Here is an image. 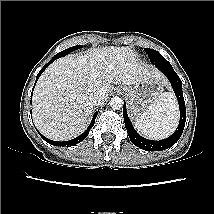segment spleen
I'll use <instances>...</instances> for the list:
<instances>
[{
	"instance_id": "spleen-1",
	"label": "spleen",
	"mask_w": 214,
	"mask_h": 214,
	"mask_svg": "<svg viewBox=\"0 0 214 214\" xmlns=\"http://www.w3.org/2000/svg\"><path fill=\"white\" fill-rule=\"evenodd\" d=\"M178 119L176 98L171 92H165L135 118L134 126L147 138L163 139L174 132Z\"/></svg>"
}]
</instances>
